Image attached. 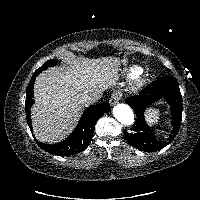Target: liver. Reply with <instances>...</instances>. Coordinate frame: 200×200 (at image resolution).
<instances>
[{
    "label": "liver",
    "instance_id": "1",
    "mask_svg": "<svg viewBox=\"0 0 200 200\" xmlns=\"http://www.w3.org/2000/svg\"><path fill=\"white\" fill-rule=\"evenodd\" d=\"M120 61L115 57L72 58L67 67H50L36 78L31 109L35 137L43 143L63 140L80 117L82 96L115 86Z\"/></svg>",
    "mask_w": 200,
    "mask_h": 200
}]
</instances>
